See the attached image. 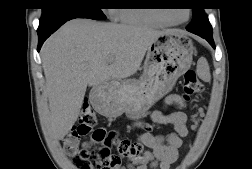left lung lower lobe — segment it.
Returning <instances> with one entry per match:
<instances>
[{
    "label": "left lung lower lobe",
    "instance_id": "left-lung-lower-lobe-1",
    "mask_svg": "<svg viewBox=\"0 0 252 169\" xmlns=\"http://www.w3.org/2000/svg\"><path fill=\"white\" fill-rule=\"evenodd\" d=\"M190 32L205 38L212 45V47L215 48V44H214L212 35H208V34L201 32V31H190Z\"/></svg>",
    "mask_w": 252,
    "mask_h": 169
}]
</instances>
